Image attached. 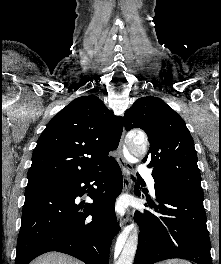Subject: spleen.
I'll use <instances>...</instances> for the list:
<instances>
[{"mask_svg": "<svg viewBox=\"0 0 221 264\" xmlns=\"http://www.w3.org/2000/svg\"><path fill=\"white\" fill-rule=\"evenodd\" d=\"M158 264H191L190 262L186 261V260H181V259H171L165 262H161Z\"/></svg>", "mask_w": 221, "mask_h": 264, "instance_id": "3e777b00", "label": "spleen"}]
</instances>
